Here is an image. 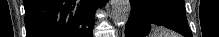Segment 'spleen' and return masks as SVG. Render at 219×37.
Segmentation results:
<instances>
[{
	"label": "spleen",
	"instance_id": "spleen-1",
	"mask_svg": "<svg viewBox=\"0 0 219 37\" xmlns=\"http://www.w3.org/2000/svg\"><path fill=\"white\" fill-rule=\"evenodd\" d=\"M151 37H179L177 34L171 33L163 28L154 27Z\"/></svg>",
	"mask_w": 219,
	"mask_h": 37
}]
</instances>
